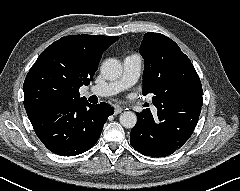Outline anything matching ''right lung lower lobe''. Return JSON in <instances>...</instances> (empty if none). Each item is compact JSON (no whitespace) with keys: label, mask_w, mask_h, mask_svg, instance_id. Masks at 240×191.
Wrapping results in <instances>:
<instances>
[{"label":"right lung lower lobe","mask_w":240,"mask_h":191,"mask_svg":"<svg viewBox=\"0 0 240 191\" xmlns=\"http://www.w3.org/2000/svg\"><path fill=\"white\" fill-rule=\"evenodd\" d=\"M41 142L53 153L75 156L93 147L114 109L107 103L60 100L26 110Z\"/></svg>","instance_id":"right-lung-lower-lobe-1"}]
</instances>
